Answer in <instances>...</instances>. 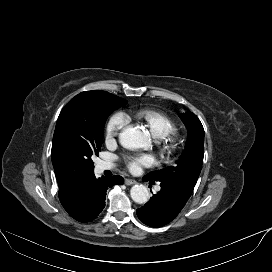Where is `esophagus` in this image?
Here are the masks:
<instances>
[{"label": "esophagus", "instance_id": "1", "mask_svg": "<svg viewBox=\"0 0 272 272\" xmlns=\"http://www.w3.org/2000/svg\"><path fill=\"white\" fill-rule=\"evenodd\" d=\"M135 183H136V181L133 180V179H125V184H126V185H133V184H135Z\"/></svg>", "mask_w": 272, "mask_h": 272}]
</instances>
